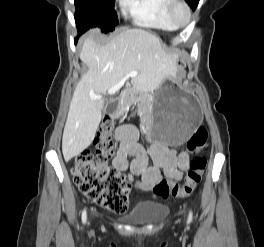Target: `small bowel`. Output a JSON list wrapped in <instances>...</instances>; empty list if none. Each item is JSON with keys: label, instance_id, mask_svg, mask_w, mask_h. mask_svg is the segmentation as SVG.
I'll return each mask as SVG.
<instances>
[{"label": "small bowel", "instance_id": "obj_1", "mask_svg": "<svg viewBox=\"0 0 264 247\" xmlns=\"http://www.w3.org/2000/svg\"><path fill=\"white\" fill-rule=\"evenodd\" d=\"M138 130L130 125H123L116 130L119 143L118 151L113 159V166L119 171L130 170V182L139 176L137 187L141 191H151L160 182L163 174L171 181H179L188 168L189 157L185 152L176 153L160 142L153 143L148 151L138 142ZM132 157L129 163L128 158ZM149 157L154 165L149 167Z\"/></svg>", "mask_w": 264, "mask_h": 247}]
</instances>
